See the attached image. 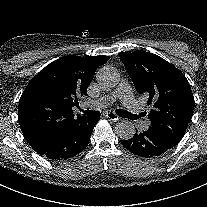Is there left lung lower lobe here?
<instances>
[{
	"label": "left lung lower lobe",
	"mask_w": 207,
	"mask_h": 207,
	"mask_svg": "<svg viewBox=\"0 0 207 207\" xmlns=\"http://www.w3.org/2000/svg\"><path fill=\"white\" fill-rule=\"evenodd\" d=\"M122 145L135 155L141 157H155L175 147L166 137L158 132L148 129L136 133L131 139L121 140Z\"/></svg>",
	"instance_id": "left-lung-lower-lobe-1"
}]
</instances>
